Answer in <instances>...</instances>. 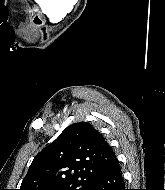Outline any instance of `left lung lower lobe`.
Masks as SVG:
<instances>
[{
  "instance_id": "left-lung-lower-lobe-1",
  "label": "left lung lower lobe",
  "mask_w": 165,
  "mask_h": 190,
  "mask_svg": "<svg viewBox=\"0 0 165 190\" xmlns=\"http://www.w3.org/2000/svg\"><path fill=\"white\" fill-rule=\"evenodd\" d=\"M90 190H125L117 158L98 174Z\"/></svg>"
}]
</instances>
